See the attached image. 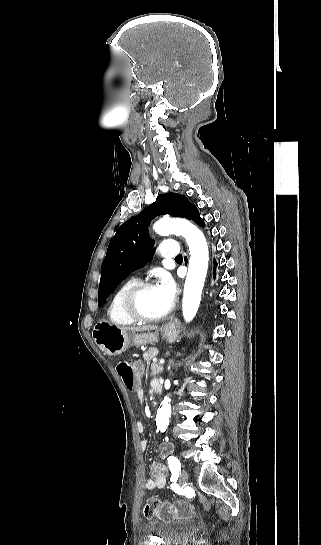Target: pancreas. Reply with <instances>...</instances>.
<instances>
[{"label": "pancreas", "mask_w": 321, "mask_h": 545, "mask_svg": "<svg viewBox=\"0 0 321 545\" xmlns=\"http://www.w3.org/2000/svg\"><path fill=\"white\" fill-rule=\"evenodd\" d=\"M162 371V365H158V363H151V377H155V375H160Z\"/></svg>", "instance_id": "pancreas-1"}]
</instances>
